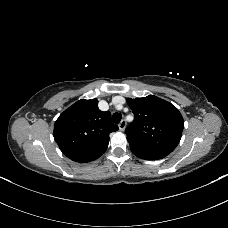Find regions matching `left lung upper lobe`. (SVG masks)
<instances>
[{
    "instance_id": "left-lung-upper-lobe-1",
    "label": "left lung upper lobe",
    "mask_w": 228,
    "mask_h": 228,
    "mask_svg": "<svg viewBox=\"0 0 228 228\" xmlns=\"http://www.w3.org/2000/svg\"><path fill=\"white\" fill-rule=\"evenodd\" d=\"M134 113L133 123L126 129L133 150L170 154L178 145L184 128L179 110L156 96L127 98Z\"/></svg>"
}]
</instances>
